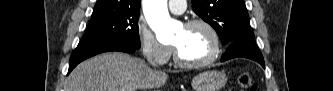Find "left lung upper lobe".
I'll return each mask as SVG.
<instances>
[{"mask_svg":"<svg viewBox=\"0 0 333 91\" xmlns=\"http://www.w3.org/2000/svg\"><path fill=\"white\" fill-rule=\"evenodd\" d=\"M192 8L217 32L224 45L254 34L244 0H191Z\"/></svg>","mask_w":333,"mask_h":91,"instance_id":"obj_1","label":"left lung upper lobe"}]
</instances>
